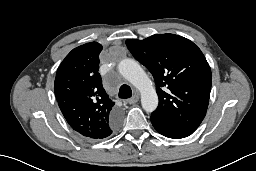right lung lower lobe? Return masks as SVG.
Segmentation results:
<instances>
[{"label":"right lung lower lobe","instance_id":"right-lung-lower-lobe-1","mask_svg":"<svg viewBox=\"0 0 256 171\" xmlns=\"http://www.w3.org/2000/svg\"><path fill=\"white\" fill-rule=\"evenodd\" d=\"M119 123H120V114L116 112L110 119L109 129L113 132L118 127Z\"/></svg>","mask_w":256,"mask_h":171}]
</instances>
